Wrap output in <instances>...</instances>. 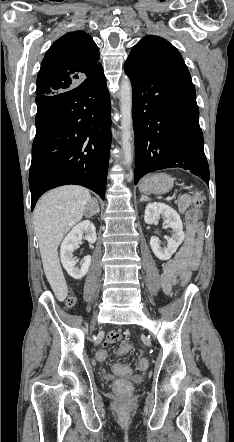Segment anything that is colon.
Returning a JSON list of instances; mask_svg holds the SVG:
<instances>
[{"label": "colon", "instance_id": "5ec220e1", "mask_svg": "<svg viewBox=\"0 0 234 442\" xmlns=\"http://www.w3.org/2000/svg\"><path fill=\"white\" fill-rule=\"evenodd\" d=\"M205 201V197L200 191H196L193 196L192 206L194 211L199 210ZM192 239H195V254L192 255L191 267L189 270L185 271L181 276V284L187 285L191 279V273H195L198 268H200L201 264H203L204 259L200 255L202 251L200 234L194 232ZM191 239V240H192ZM75 297L70 296L66 301V307L72 308L75 305ZM131 344L129 342H124L122 345H119L118 348H113L111 353L113 355L122 356L130 351ZM110 350L106 347L99 348L96 350L95 355L100 362H106L110 356ZM137 366L140 369H144L146 367V359L143 356L138 357ZM113 372L117 375L125 376L131 373V368L126 365V363H114L112 366ZM114 389H117L121 393H126L129 389L133 388L132 380H114L113 382Z\"/></svg>", "mask_w": 234, "mask_h": 442}]
</instances>
